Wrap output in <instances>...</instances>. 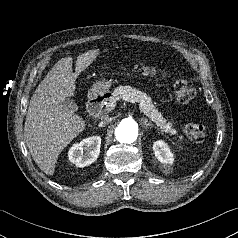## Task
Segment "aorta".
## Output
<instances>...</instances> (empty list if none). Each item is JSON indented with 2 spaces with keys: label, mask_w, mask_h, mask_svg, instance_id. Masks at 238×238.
I'll list each match as a JSON object with an SVG mask.
<instances>
[{
  "label": "aorta",
  "mask_w": 238,
  "mask_h": 238,
  "mask_svg": "<svg viewBox=\"0 0 238 238\" xmlns=\"http://www.w3.org/2000/svg\"><path fill=\"white\" fill-rule=\"evenodd\" d=\"M115 137L121 143H133L138 137V124L132 118L122 119L115 129Z\"/></svg>",
  "instance_id": "1"
}]
</instances>
